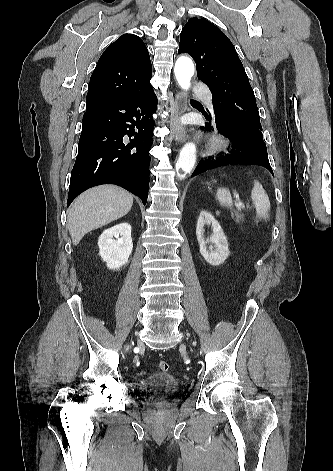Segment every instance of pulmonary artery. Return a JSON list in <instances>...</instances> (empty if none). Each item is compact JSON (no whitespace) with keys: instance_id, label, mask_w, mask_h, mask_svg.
<instances>
[{"instance_id":"e3ab8cb5","label":"pulmonary artery","mask_w":333,"mask_h":471,"mask_svg":"<svg viewBox=\"0 0 333 471\" xmlns=\"http://www.w3.org/2000/svg\"><path fill=\"white\" fill-rule=\"evenodd\" d=\"M193 91L196 95L203 96L206 101L211 102L212 95L204 84L202 83L195 84Z\"/></svg>"}]
</instances>
